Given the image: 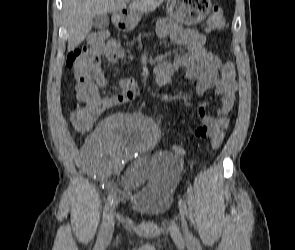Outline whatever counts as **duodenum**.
I'll list each match as a JSON object with an SVG mask.
<instances>
[{
  "instance_id": "obj_1",
  "label": "duodenum",
  "mask_w": 295,
  "mask_h": 250,
  "mask_svg": "<svg viewBox=\"0 0 295 250\" xmlns=\"http://www.w3.org/2000/svg\"><path fill=\"white\" fill-rule=\"evenodd\" d=\"M115 21L119 22H127L128 21V12L125 9H122L115 17Z\"/></svg>"
}]
</instances>
